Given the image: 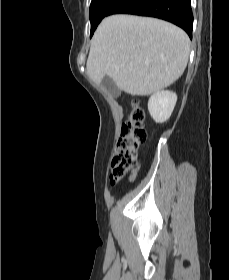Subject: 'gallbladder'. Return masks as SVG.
<instances>
[{
  "mask_svg": "<svg viewBox=\"0 0 229 280\" xmlns=\"http://www.w3.org/2000/svg\"><path fill=\"white\" fill-rule=\"evenodd\" d=\"M103 88H105L109 94L111 96H113L114 98H117L121 91L120 89L117 87V85L115 84V82L109 77V76H105L100 84Z\"/></svg>",
  "mask_w": 229,
  "mask_h": 280,
  "instance_id": "gallbladder-1",
  "label": "gallbladder"
}]
</instances>
